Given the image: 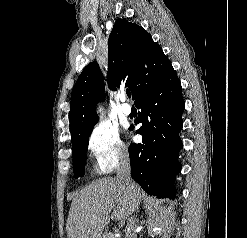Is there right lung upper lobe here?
<instances>
[{"instance_id":"obj_1","label":"right lung upper lobe","mask_w":247,"mask_h":238,"mask_svg":"<svg viewBox=\"0 0 247 238\" xmlns=\"http://www.w3.org/2000/svg\"><path fill=\"white\" fill-rule=\"evenodd\" d=\"M107 82L115 90L121 82L136 100L159 82L172 67L162 48L135 23L118 19L108 41ZM103 74L92 62L80 74L71 94L70 131L72 145L91 131L98 121L96 104L105 100Z\"/></svg>"}]
</instances>
